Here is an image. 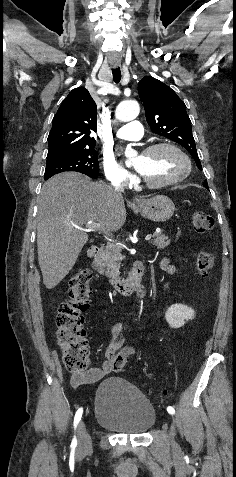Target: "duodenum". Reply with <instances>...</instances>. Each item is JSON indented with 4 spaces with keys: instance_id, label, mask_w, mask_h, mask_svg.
I'll return each mask as SVG.
<instances>
[{
    "instance_id": "duodenum-1",
    "label": "duodenum",
    "mask_w": 236,
    "mask_h": 477,
    "mask_svg": "<svg viewBox=\"0 0 236 477\" xmlns=\"http://www.w3.org/2000/svg\"><path fill=\"white\" fill-rule=\"evenodd\" d=\"M92 266L97 268L100 262L101 250L98 246H93L88 251ZM143 276V264L141 261H135L128 277H112L111 286L121 295L127 296L140 288Z\"/></svg>"
}]
</instances>
